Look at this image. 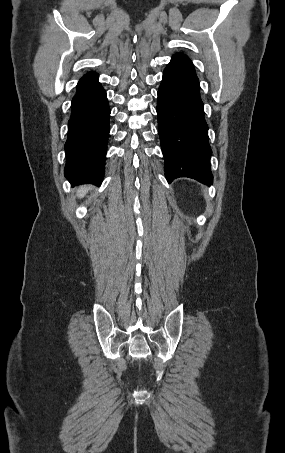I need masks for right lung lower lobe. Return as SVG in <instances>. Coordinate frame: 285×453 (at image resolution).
<instances>
[{"instance_id": "98d812e1", "label": "right lung lower lobe", "mask_w": 285, "mask_h": 453, "mask_svg": "<svg viewBox=\"0 0 285 453\" xmlns=\"http://www.w3.org/2000/svg\"><path fill=\"white\" fill-rule=\"evenodd\" d=\"M110 108L98 75L87 73L78 82L71 103L65 143V177L72 185H101L109 135Z\"/></svg>"}]
</instances>
